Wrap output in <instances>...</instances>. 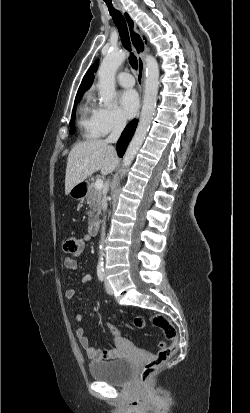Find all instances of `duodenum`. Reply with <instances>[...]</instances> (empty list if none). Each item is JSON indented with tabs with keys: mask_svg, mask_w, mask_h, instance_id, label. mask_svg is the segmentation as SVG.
<instances>
[{
	"mask_svg": "<svg viewBox=\"0 0 250 413\" xmlns=\"http://www.w3.org/2000/svg\"><path fill=\"white\" fill-rule=\"evenodd\" d=\"M100 228V223L98 221H93L89 226V232L91 235L95 236L98 234Z\"/></svg>",
	"mask_w": 250,
	"mask_h": 413,
	"instance_id": "obj_1",
	"label": "duodenum"
}]
</instances>
